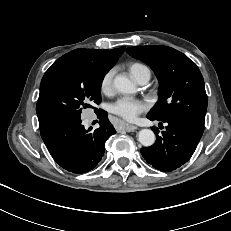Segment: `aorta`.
I'll return each mask as SVG.
<instances>
[{
  "instance_id": "aorta-1",
  "label": "aorta",
  "mask_w": 231,
  "mask_h": 231,
  "mask_svg": "<svg viewBox=\"0 0 231 231\" xmlns=\"http://www.w3.org/2000/svg\"><path fill=\"white\" fill-rule=\"evenodd\" d=\"M114 87L123 94H133L136 92L135 84L124 75H117L114 78ZM138 141L145 147L152 146L155 142V134L150 129H142L138 133Z\"/></svg>"
}]
</instances>
